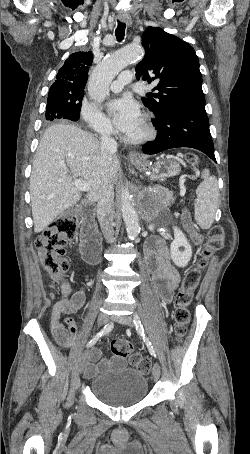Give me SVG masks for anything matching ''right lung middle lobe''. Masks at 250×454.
<instances>
[{"instance_id":"obj_1","label":"right lung middle lobe","mask_w":250,"mask_h":454,"mask_svg":"<svg viewBox=\"0 0 250 454\" xmlns=\"http://www.w3.org/2000/svg\"><path fill=\"white\" fill-rule=\"evenodd\" d=\"M84 93L77 96H59L56 93H48L45 119L46 122L56 119H69L77 121L81 109V101Z\"/></svg>"}]
</instances>
